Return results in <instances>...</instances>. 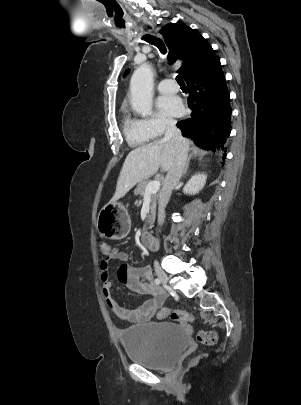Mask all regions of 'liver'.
Segmentation results:
<instances>
[{
  "label": "liver",
  "mask_w": 301,
  "mask_h": 405,
  "mask_svg": "<svg viewBox=\"0 0 301 405\" xmlns=\"http://www.w3.org/2000/svg\"><path fill=\"white\" fill-rule=\"evenodd\" d=\"M187 142L189 144L188 140ZM176 151V144L172 140L164 139L133 149L124 161L116 192L110 203H115L136 184L156 174L159 168L164 172L168 171L175 159Z\"/></svg>",
  "instance_id": "obj_1"
}]
</instances>
